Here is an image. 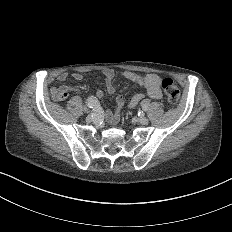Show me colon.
I'll list each match as a JSON object with an SVG mask.
<instances>
[{"instance_id":"colon-1","label":"colon","mask_w":232,"mask_h":232,"mask_svg":"<svg viewBox=\"0 0 232 232\" xmlns=\"http://www.w3.org/2000/svg\"><path fill=\"white\" fill-rule=\"evenodd\" d=\"M174 82L168 77H163L159 81V86L164 90L163 98L164 101H170L171 103H178V95H180V90L178 86H173ZM63 98H71V93H58V96H54V101H62Z\"/></svg>"}]
</instances>
